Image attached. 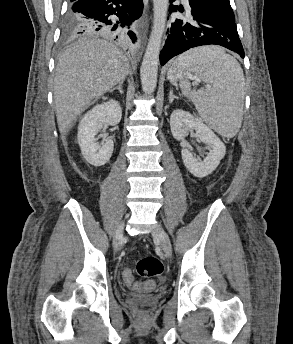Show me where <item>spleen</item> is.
<instances>
[{
    "label": "spleen",
    "mask_w": 293,
    "mask_h": 344,
    "mask_svg": "<svg viewBox=\"0 0 293 344\" xmlns=\"http://www.w3.org/2000/svg\"><path fill=\"white\" fill-rule=\"evenodd\" d=\"M175 61L207 84L206 89L191 93L187 80L180 83L182 93L191 99L202 119L220 135L234 136L242 123L245 87L237 60L219 47L205 46L192 49Z\"/></svg>",
    "instance_id": "obj_1"
}]
</instances>
